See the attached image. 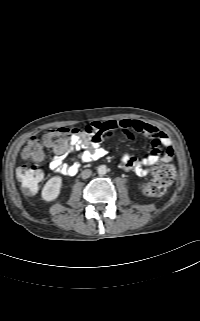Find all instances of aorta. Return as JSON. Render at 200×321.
Masks as SVG:
<instances>
[{
	"instance_id": "aorta-1",
	"label": "aorta",
	"mask_w": 200,
	"mask_h": 321,
	"mask_svg": "<svg viewBox=\"0 0 200 321\" xmlns=\"http://www.w3.org/2000/svg\"><path fill=\"white\" fill-rule=\"evenodd\" d=\"M97 172L99 175H105L107 173V167L105 165H101L98 167Z\"/></svg>"
}]
</instances>
